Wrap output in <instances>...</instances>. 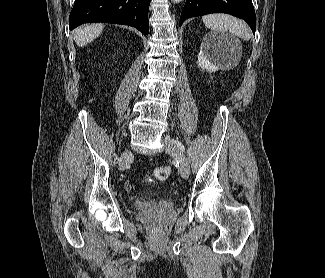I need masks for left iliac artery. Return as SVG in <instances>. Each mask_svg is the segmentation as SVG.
<instances>
[{
  "label": "left iliac artery",
  "mask_w": 325,
  "mask_h": 278,
  "mask_svg": "<svg viewBox=\"0 0 325 278\" xmlns=\"http://www.w3.org/2000/svg\"><path fill=\"white\" fill-rule=\"evenodd\" d=\"M173 141L176 143V145L178 146V148H179L180 150H182V151L185 150L184 146H183L179 141H175V140H173Z\"/></svg>",
  "instance_id": "44dca946"
}]
</instances>
